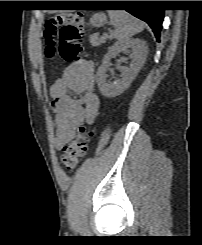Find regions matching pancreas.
I'll return each mask as SVG.
<instances>
[{
  "mask_svg": "<svg viewBox=\"0 0 202 245\" xmlns=\"http://www.w3.org/2000/svg\"><path fill=\"white\" fill-rule=\"evenodd\" d=\"M89 41H90L91 45L95 47V46L101 45L102 43H105L106 38H103V37L98 38L97 35H91L89 37Z\"/></svg>",
  "mask_w": 202,
  "mask_h": 245,
  "instance_id": "cf45deb5",
  "label": "pancreas"
}]
</instances>
